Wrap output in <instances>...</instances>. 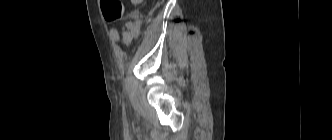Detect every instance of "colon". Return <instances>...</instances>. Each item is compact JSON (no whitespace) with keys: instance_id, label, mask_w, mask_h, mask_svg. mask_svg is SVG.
I'll list each match as a JSON object with an SVG mask.
<instances>
[{"instance_id":"1","label":"colon","mask_w":332,"mask_h":140,"mask_svg":"<svg viewBox=\"0 0 332 140\" xmlns=\"http://www.w3.org/2000/svg\"><path fill=\"white\" fill-rule=\"evenodd\" d=\"M104 18L108 22L120 20L124 13V6L120 0H100Z\"/></svg>"}]
</instances>
